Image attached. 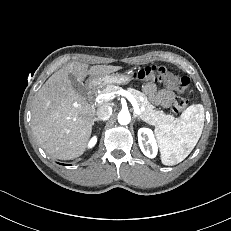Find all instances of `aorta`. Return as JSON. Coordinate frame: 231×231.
<instances>
[{"instance_id": "aorta-1", "label": "aorta", "mask_w": 231, "mask_h": 231, "mask_svg": "<svg viewBox=\"0 0 231 231\" xmlns=\"http://www.w3.org/2000/svg\"><path fill=\"white\" fill-rule=\"evenodd\" d=\"M130 121H131V116L128 111H121L118 114V122L121 125H127L130 123Z\"/></svg>"}]
</instances>
